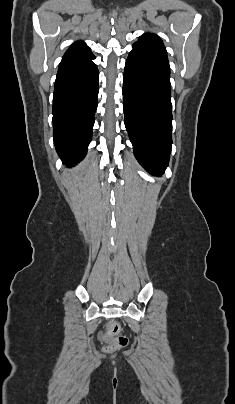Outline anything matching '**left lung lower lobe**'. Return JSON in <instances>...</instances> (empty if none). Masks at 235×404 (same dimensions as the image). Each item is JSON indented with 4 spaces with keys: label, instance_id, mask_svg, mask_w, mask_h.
<instances>
[{
    "label": "left lung lower lobe",
    "instance_id": "1",
    "mask_svg": "<svg viewBox=\"0 0 235 404\" xmlns=\"http://www.w3.org/2000/svg\"><path fill=\"white\" fill-rule=\"evenodd\" d=\"M170 66L167 55L133 45L123 78L125 127L134 154L150 173L161 175L172 146Z\"/></svg>",
    "mask_w": 235,
    "mask_h": 404
}]
</instances>
